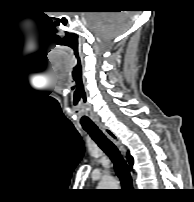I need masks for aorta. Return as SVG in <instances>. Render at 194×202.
<instances>
[{
    "mask_svg": "<svg viewBox=\"0 0 194 202\" xmlns=\"http://www.w3.org/2000/svg\"><path fill=\"white\" fill-rule=\"evenodd\" d=\"M115 180L111 177H104L99 184V189H111L115 187Z\"/></svg>",
    "mask_w": 194,
    "mask_h": 202,
    "instance_id": "1",
    "label": "aorta"
}]
</instances>
